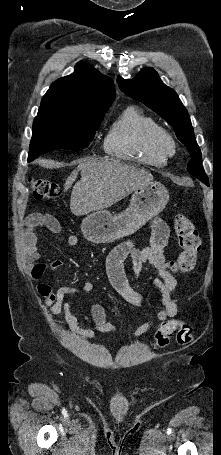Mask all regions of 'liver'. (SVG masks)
Instances as JSON below:
<instances>
[{"instance_id":"liver-1","label":"liver","mask_w":221,"mask_h":455,"mask_svg":"<svg viewBox=\"0 0 221 455\" xmlns=\"http://www.w3.org/2000/svg\"><path fill=\"white\" fill-rule=\"evenodd\" d=\"M75 183L70 199L71 212L82 216L98 209L108 208L127 197L143 184L153 180V175L138 167L120 161L87 160L78 164L64 184L67 191Z\"/></svg>"}]
</instances>
